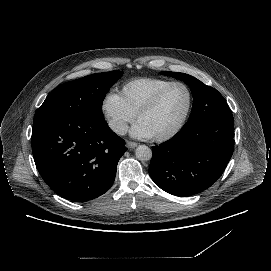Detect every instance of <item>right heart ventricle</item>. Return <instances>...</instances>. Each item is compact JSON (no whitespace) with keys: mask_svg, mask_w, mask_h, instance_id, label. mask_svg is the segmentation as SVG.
<instances>
[{"mask_svg":"<svg viewBox=\"0 0 271 271\" xmlns=\"http://www.w3.org/2000/svg\"><path fill=\"white\" fill-rule=\"evenodd\" d=\"M172 82L171 79L162 77H142L129 80L120 88L121 99L126 108L134 115L152 100L163 87Z\"/></svg>","mask_w":271,"mask_h":271,"instance_id":"e07e8e85","label":"right heart ventricle"}]
</instances>
